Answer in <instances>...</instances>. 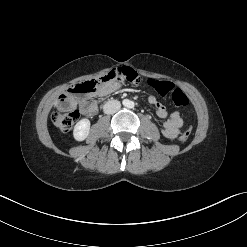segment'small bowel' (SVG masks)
Segmentation results:
<instances>
[{
    "instance_id": "1",
    "label": "small bowel",
    "mask_w": 247,
    "mask_h": 247,
    "mask_svg": "<svg viewBox=\"0 0 247 247\" xmlns=\"http://www.w3.org/2000/svg\"><path fill=\"white\" fill-rule=\"evenodd\" d=\"M118 74L117 78L111 80L107 83L102 84L97 90L99 96H106L111 94L122 87L123 78H126V73H131L136 75L134 70L129 67H122L115 70ZM148 102L155 107L156 114L160 118H165L168 115V110L164 104L159 102L157 98L153 95L148 97ZM81 112L86 116H93L97 112V105L95 102L83 101L80 105ZM183 125V120L179 112L174 111L170 114L167 121L164 123L162 133L165 137L174 139L178 136L180 129Z\"/></svg>"
}]
</instances>
